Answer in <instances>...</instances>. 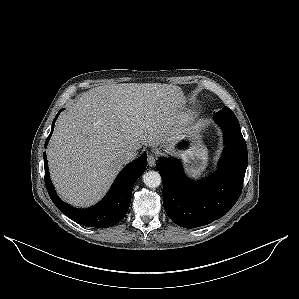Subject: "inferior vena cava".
<instances>
[{
    "mask_svg": "<svg viewBox=\"0 0 299 299\" xmlns=\"http://www.w3.org/2000/svg\"><path fill=\"white\" fill-rule=\"evenodd\" d=\"M137 156V148H129L126 151L123 152L121 155V161L124 164L129 163L130 161H133Z\"/></svg>",
    "mask_w": 299,
    "mask_h": 299,
    "instance_id": "602c4592",
    "label": "inferior vena cava"
}]
</instances>
